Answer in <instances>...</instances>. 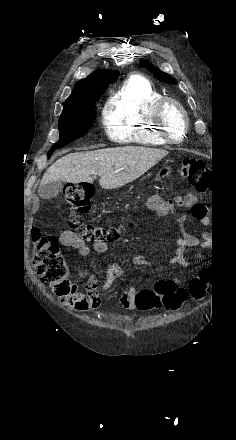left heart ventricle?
Here are the masks:
<instances>
[{
  "mask_svg": "<svg viewBox=\"0 0 236 440\" xmlns=\"http://www.w3.org/2000/svg\"><path fill=\"white\" fill-rule=\"evenodd\" d=\"M165 121L170 133L175 138H180L183 132V119L180 112L173 106H169L165 112Z\"/></svg>",
  "mask_w": 236,
  "mask_h": 440,
  "instance_id": "1",
  "label": "left heart ventricle"
}]
</instances>
